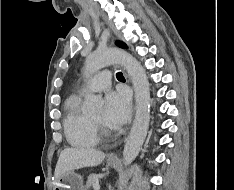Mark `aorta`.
I'll return each instance as SVG.
<instances>
[{
	"mask_svg": "<svg viewBox=\"0 0 234 190\" xmlns=\"http://www.w3.org/2000/svg\"><path fill=\"white\" fill-rule=\"evenodd\" d=\"M121 64L128 72L135 91L136 114L134 124L124 146V164L129 165L137 157L146 138L150 122V87L142 65L129 53L116 49H98L91 53L85 61V72L91 75L103 67ZM87 108L96 110L102 105V98L96 95L86 97Z\"/></svg>",
	"mask_w": 234,
	"mask_h": 190,
	"instance_id": "obj_1",
	"label": "aorta"
}]
</instances>
